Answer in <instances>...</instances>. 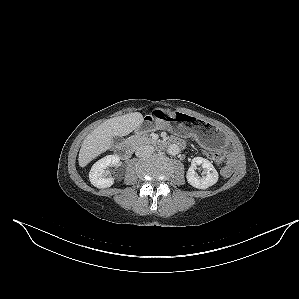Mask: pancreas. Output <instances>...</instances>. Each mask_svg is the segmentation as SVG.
Segmentation results:
<instances>
[{"mask_svg":"<svg viewBox=\"0 0 299 299\" xmlns=\"http://www.w3.org/2000/svg\"><path fill=\"white\" fill-rule=\"evenodd\" d=\"M128 141L135 146L141 145V144H148L151 143L152 140L148 135H139V134H135L133 136H131Z\"/></svg>","mask_w":299,"mask_h":299,"instance_id":"obj_1","label":"pancreas"}]
</instances>
